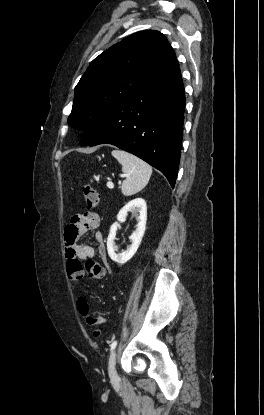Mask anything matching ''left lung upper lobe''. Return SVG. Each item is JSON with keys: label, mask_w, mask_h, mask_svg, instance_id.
Segmentation results:
<instances>
[{"label": "left lung upper lobe", "mask_w": 264, "mask_h": 415, "mask_svg": "<svg viewBox=\"0 0 264 415\" xmlns=\"http://www.w3.org/2000/svg\"><path fill=\"white\" fill-rule=\"evenodd\" d=\"M179 66L165 36L155 30L134 33L89 65L75 87L68 123L84 143L127 98Z\"/></svg>", "instance_id": "left-lung-upper-lobe-1"}]
</instances>
